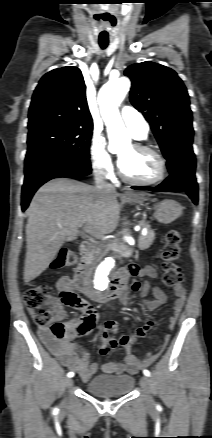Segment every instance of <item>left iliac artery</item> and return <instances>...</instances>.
<instances>
[{"instance_id":"1","label":"left iliac artery","mask_w":212,"mask_h":438,"mask_svg":"<svg viewBox=\"0 0 212 438\" xmlns=\"http://www.w3.org/2000/svg\"><path fill=\"white\" fill-rule=\"evenodd\" d=\"M143 373H144V375L145 376H147V377H149L151 374H150V371L149 370H143Z\"/></svg>"}]
</instances>
